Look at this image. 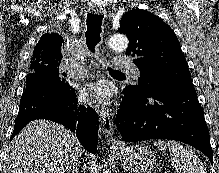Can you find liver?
Here are the masks:
<instances>
[{
    "instance_id": "6515ba94",
    "label": "liver",
    "mask_w": 219,
    "mask_h": 173,
    "mask_svg": "<svg viewBox=\"0 0 219 173\" xmlns=\"http://www.w3.org/2000/svg\"><path fill=\"white\" fill-rule=\"evenodd\" d=\"M81 154L82 145L69 129L35 120L11 141L4 173H67Z\"/></svg>"
}]
</instances>
